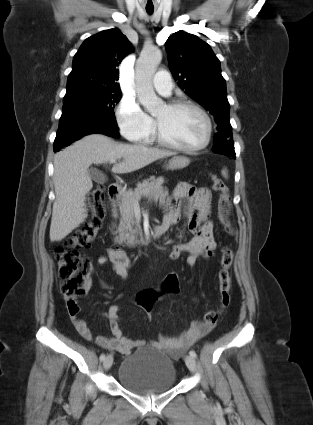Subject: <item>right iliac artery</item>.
Returning <instances> with one entry per match:
<instances>
[{"mask_svg": "<svg viewBox=\"0 0 313 425\" xmlns=\"http://www.w3.org/2000/svg\"><path fill=\"white\" fill-rule=\"evenodd\" d=\"M105 359V354L100 355V361H103Z\"/></svg>", "mask_w": 313, "mask_h": 425, "instance_id": "1", "label": "right iliac artery"}]
</instances>
